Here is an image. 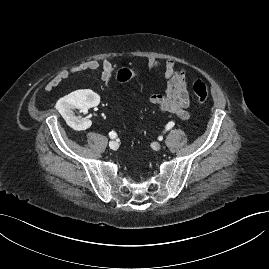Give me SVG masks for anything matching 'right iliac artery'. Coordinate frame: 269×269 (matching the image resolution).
Masks as SVG:
<instances>
[{
  "instance_id": "1",
  "label": "right iliac artery",
  "mask_w": 269,
  "mask_h": 269,
  "mask_svg": "<svg viewBox=\"0 0 269 269\" xmlns=\"http://www.w3.org/2000/svg\"><path fill=\"white\" fill-rule=\"evenodd\" d=\"M109 136H110L111 139H115V138L117 137V134H116V132L111 131V132L109 133Z\"/></svg>"
}]
</instances>
